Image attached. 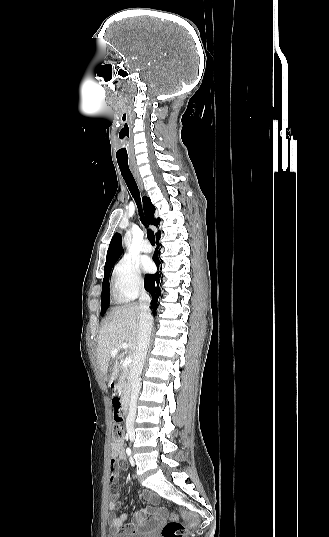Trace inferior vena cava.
I'll list each match as a JSON object with an SVG mask.
<instances>
[{"label":"inferior vena cava","instance_id":"1","mask_svg":"<svg viewBox=\"0 0 329 537\" xmlns=\"http://www.w3.org/2000/svg\"><path fill=\"white\" fill-rule=\"evenodd\" d=\"M139 302V333L137 337V347L133 357L130 373L132 393L129 405V413L126 418V428L127 431L131 433L134 432V422L137 412V399L141 389L140 375L142 373V369L146 360L153 325V318L149 309L151 298L144 289L141 290Z\"/></svg>","mask_w":329,"mask_h":537}]
</instances>
